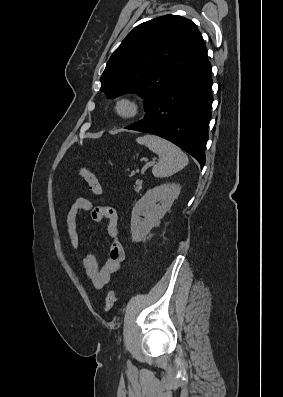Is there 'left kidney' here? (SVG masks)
Returning <instances> with one entry per match:
<instances>
[{
  "instance_id": "left-kidney-1",
  "label": "left kidney",
  "mask_w": 283,
  "mask_h": 397,
  "mask_svg": "<svg viewBox=\"0 0 283 397\" xmlns=\"http://www.w3.org/2000/svg\"><path fill=\"white\" fill-rule=\"evenodd\" d=\"M180 189V186L175 183L157 186L148 190L134 205L131 216L133 242L144 241L151 229L160 224V220L178 198ZM140 216H144V219Z\"/></svg>"
}]
</instances>
